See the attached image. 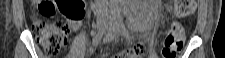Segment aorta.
Returning <instances> with one entry per match:
<instances>
[{"label":"aorta","mask_w":225,"mask_h":58,"mask_svg":"<svg viewBox=\"0 0 225 58\" xmlns=\"http://www.w3.org/2000/svg\"><path fill=\"white\" fill-rule=\"evenodd\" d=\"M116 0H111V5H110V10H111V13L116 16L118 15L119 11H118V7L116 5Z\"/></svg>","instance_id":"aorta-1"}]
</instances>
